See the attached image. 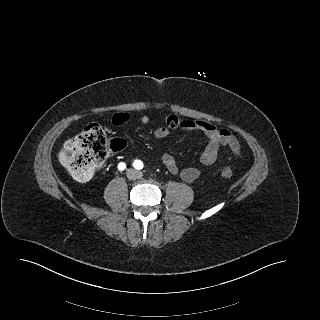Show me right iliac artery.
<instances>
[{
    "mask_svg": "<svg viewBox=\"0 0 320 320\" xmlns=\"http://www.w3.org/2000/svg\"><path fill=\"white\" fill-rule=\"evenodd\" d=\"M125 168H126V164H125V163L120 162V163L118 164V169H119L120 171H123Z\"/></svg>",
    "mask_w": 320,
    "mask_h": 320,
    "instance_id": "1",
    "label": "right iliac artery"
}]
</instances>
